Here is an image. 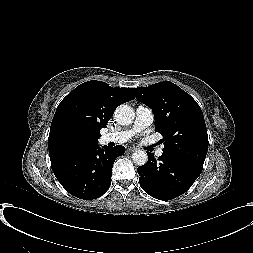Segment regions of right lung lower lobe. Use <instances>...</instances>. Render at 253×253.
<instances>
[{"label": "right lung lower lobe", "mask_w": 253, "mask_h": 253, "mask_svg": "<svg viewBox=\"0 0 253 253\" xmlns=\"http://www.w3.org/2000/svg\"><path fill=\"white\" fill-rule=\"evenodd\" d=\"M125 147L98 145L51 162L52 170L67 192L75 197L91 200L103 195L111 184L115 159L123 155Z\"/></svg>", "instance_id": "right-lung-lower-lobe-1"}]
</instances>
